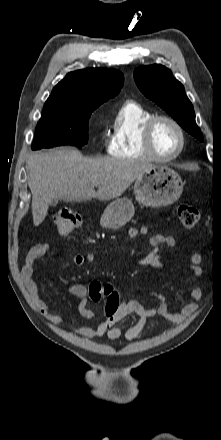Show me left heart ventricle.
Masks as SVG:
<instances>
[{
    "mask_svg": "<svg viewBox=\"0 0 221 440\" xmlns=\"http://www.w3.org/2000/svg\"><path fill=\"white\" fill-rule=\"evenodd\" d=\"M153 145L161 156L174 154L180 146V136L177 129L169 122L160 121L154 129Z\"/></svg>",
    "mask_w": 221,
    "mask_h": 440,
    "instance_id": "obj_1",
    "label": "left heart ventricle"
}]
</instances>
